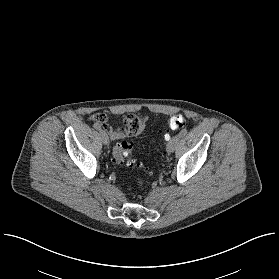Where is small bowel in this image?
<instances>
[{
	"label": "small bowel",
	"instance_id": "1",
	"mask_svg": "<svg viewBox=\"0 0 279 279\" xmlns=\"http://www.w3.org/2000/svg\"><path fill=\"white\" fill-rule=\"evenodd\" d=\"M101 115L103 118H101ZM90 119L101 124V126L108 132L112 140L137 137L144 131L143 120L131 114L124 118L122 127L110 126L108 124V116L104 113H94L90 116Z\"/></svg>",
	"mask_w": 279,
	"mask_h": 279
}]
</instances>
